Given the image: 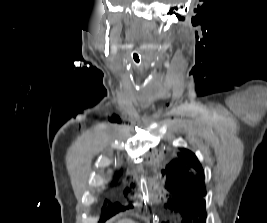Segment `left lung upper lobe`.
Returning a JSON list of instances; mask_svg holds the SVG:
<instances>
[{
  "mask_svg": "<svg viewBox=\"0 0 267 223\" xmlns=\"http://www.w3.org/2000/svg\"><path fill=\"white\" fill-rule=\"evenodd\" d=\"M161 172L167 175L166 187L173 196L168 206L162 209V214H182L191 220L195 217L196 223L199 222L197 218L205 223V176L195 154L183 149Z\"/></svg>",
  "mask_w": 267,
  "mask_h": 223,
  "instance_id": "left-lung-upper-lobe-1",
  "label": "left lung upper lobe"
}]
</instances>
